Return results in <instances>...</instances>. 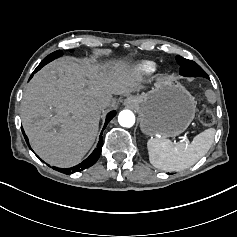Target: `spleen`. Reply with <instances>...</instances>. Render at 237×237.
<instances>
[{
    "label": "spleen",
    "mask_w": 237,
    "mask_h": 237,
    "mask_svg": "<svg viewBox=\"0 0 237 237\" xmlns=\"http://www.w3.org/2000/svg\"><path fill=\"white\" fill-rule=\"evenodd\" d=\"M216 129L207 128L195 136L191 143H172L168 139H149V162L157 169L182 171L198 162L210 149Z\"/></svg>",
    "instance_id": "3e777b00"
}]
</instances>
